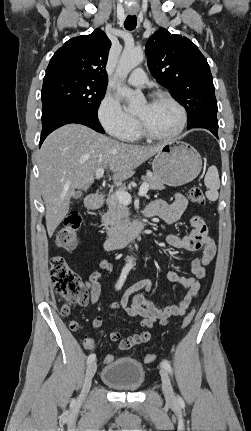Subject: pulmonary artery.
I'll return each instance as SVG.
<instances>
[{"mask_svg":"<svg viewBox=\"0 0 251 431\" xmlns=\"http://www.w3.org/2000/svg\"><path fill=\"white\" fill-rule=\"evenodd\" d=\"M147 80V76L141 68L135 69L128 77V82L133 86H143Z\"/></svg>","mask_w":251,"mask_h":431,"instance_id":"pulmonary-artery-1","label":"pulmonary artery"}]
</instances>
